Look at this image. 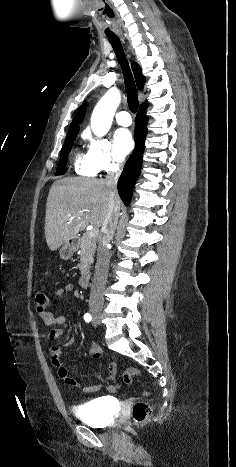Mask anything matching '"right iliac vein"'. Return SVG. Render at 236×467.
Masks as SVG:
<instances>
[{"label":"right iliac vein","mask_w":236,"mask_h":467,"mask_svg":"<svg viewBox=\"0 0 236 467\" xmlns=\"http://www.w3.org/2000/svg\"><path fill=\"white\" fill-rule=\"evenodd\" d=\"M100 313L99 312H93V318H94V321L96 322H100Z\"/></svg>","instance_id":"obj_1"}]
</instances>
